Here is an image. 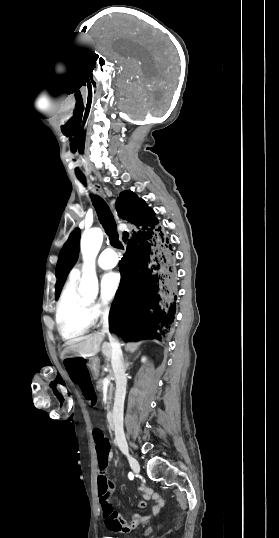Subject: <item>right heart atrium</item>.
I'll use <instances>...</instances> for the list:
<instances>
[{"label":"right heart atrium","instance_id":"d8ad5b80","mask_svg":"<svg viewBox=\"0 0 279 538\" xmlns=\"http://www.w3.org/2000/svg\"><path fill=\"white\" fill-rule=\"evenodd\" d=\"M93 312L96 318H108L112 313V306L107 301L99 300L93 304Z\"/></svg>","mask_w":279,"mask_h":538}]
</instances>
